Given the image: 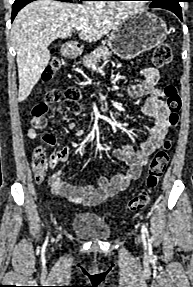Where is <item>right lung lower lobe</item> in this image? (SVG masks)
Returning a JSON list of instances; mask_svg holds the SVG:
<instances>
[{
    "mask_svg": "<svg viewBox=\"0 0 193 287\" xmlns=\"http://www.w3.org/2000/svg\"><path fill=\"white\" fill-rule=\"evenodd\" d=\"M34 0H15L13 7H12V21L15 18L16 14L19 10H21L24 6H26L28 3L32 2ZM63 2H72V0H59Z\"/></svg>",
    "mask_w": 193,
    "mask_h": 287,
    "instance_id": "right-lung-lower-lobe-1",
    "label": "right lung lower lobe"
}]
</instances>
